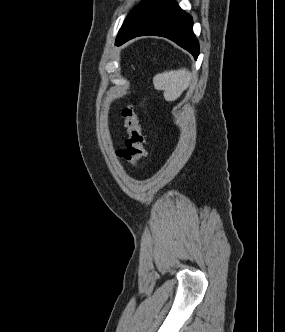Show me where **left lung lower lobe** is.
<instances>
[{
  "label": "left lung lower lobe",
  "instance_id": "obj_1",
  "mask_svg": "<svg viewBox=\"0 0 285 332\" xmlns=\"http://www.w3.org/2000/svg\"><path fill=\"white\" fill-rule=\"evenodd\" d=\"M142 35L166 37L188 50L195 59L199 43L193 33L192 17L174 0H151L138 16L117 36L116 45Z\"/></svg>",
  "mask_w": 285,
  "mask_h": 332
}]
</instances>
